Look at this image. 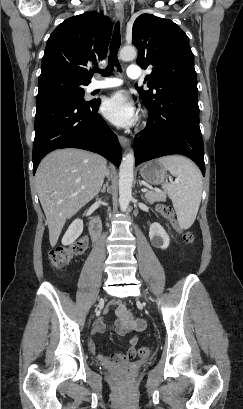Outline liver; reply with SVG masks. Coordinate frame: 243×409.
I'll list each match as a JSON object with an SVG mask.
<instances>
[{"label":"liver","mask_w":243,"mask_h":409,"mask_svg":"<svg viewBox=\"0 0 243 409\" xmlns=\"http://www.w3.org/2000/svg\"><path fill=\"white\" fill-rule=\"evenodd\" d=\"M105 175L106 160L80 149H59L41 161L35 175L36 188L52 247L66 220L97 196Z\"/></svg>","instance_id":"1"}]
</instances>
